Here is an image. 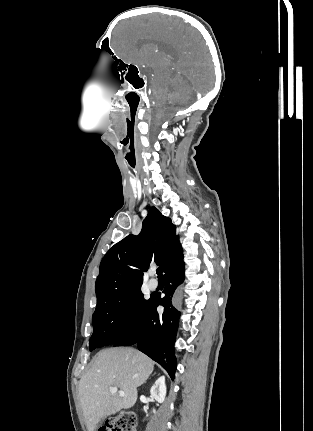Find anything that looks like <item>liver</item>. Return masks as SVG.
I'll list each match as a JSON object with an SVG mask.
<instances>
[{"label":"liver","instance_id":"1","mask_svg":"<svg viewBox=\"0 0 313 431\" xmlns=\"http://www.w3.org/2000/svg\"><path fill=\"white\" fill-rule=\"evenodd\" d=\"M153 369V361L132 348H109L98 352L78 386L88 431H94L101 419L134 406L137 387L148 379ZM111 387L119 388L125 395L110 393Z\"/></svg>","mask_w":313,"mask_h":431}]
</instances>
